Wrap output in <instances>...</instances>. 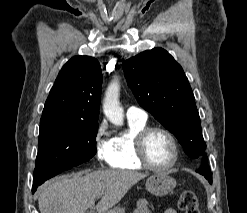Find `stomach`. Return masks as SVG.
<instances>
[{
  "instance_id": "1",
  "label": "stomach",
  "mask_w": 247,
  "mask_h": 213,
  "mask_svg": "<svg viewBox=\"0 0 247 213\" xmlns=\"http://www.w3.org/2000/svg\"><path fill=\"white\" fill-rule=\"evenodd\" d=\"M176 180L166 173H156L151 175L146 181V189L155 196H165L176 187ZM105 213H125V209L116 206Z\"/></svg>"
}]
</instances>
